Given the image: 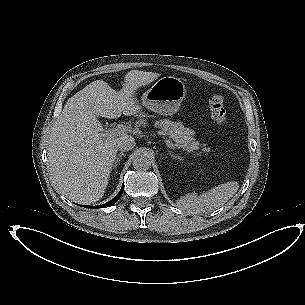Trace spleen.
Masks as SVG:
<instances>
[{
	"instance_id": "1",
	"label": "spleen",
	"mask_w": 305,
	"mask_h": 305,
	"mask_svg": "<svg viewBox=\"0 0 305 305\" xmlns=\"http://www.w3.org/2000/svg\"><path fill=\"white\" fill-rule=\"evenodd\" d=\"M235 182H226L200 195L188 193L178 200L179 206L192 214H206L224 205L231 197Z\"/></svg>"
}]
</instances>
